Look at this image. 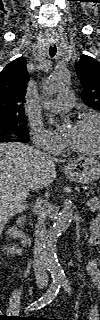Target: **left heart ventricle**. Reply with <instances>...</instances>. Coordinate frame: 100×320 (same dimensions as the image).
<instances>
[{
	"instance_id": "b2bd125f",
	"label": "left heart ventricle",
	"mask_w": 100,
	"mask_h": 320,
	"mask_svg": "<svg viewBox=\"0 0 100 320\" xmlns=\"http://www.w3.org/2000/svg\"><path fill=\"white\" fill-rule=\"evenodd\" d=\"M99 127L95 120L70 124L65 130L67 139L82 149H94L98 144Z\"/></svg>"
}]
</instances>
